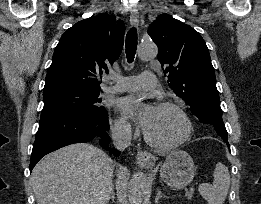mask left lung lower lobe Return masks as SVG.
Here are the masks:
<instances>
[{
  "mask_svg": "<svg viewBox=\"0 0 261 204\" xmlns=\"http://www.w3.org/2000/svg\"><path fill=\"white\" fill-rule=\"evenodd\" d=\"M227 139H228V138L223 139V140H224V142L229 146V143H228Z\"/></svg>",
  "mask_w": 261,
  "mask_h": 204,
  "instance_id": "left-lung-lower-lobe-1",
  "label": "left lung lower lobe"
}]
</instances>
